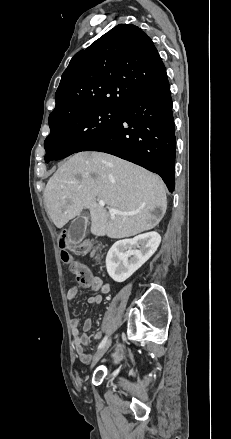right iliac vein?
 <instances>
[{
	"label": "right iliac vein",
	"instance_id": "63e3f726",
	"mask_svg": "<svg viewBox=\"0 0 231 439\" xmlns=\"http://www.w3.org/2000/svg\"><path fill=\"white\" fill-rule=\"evenodd\" d=\"M111 345V339H109L105 345L103 347H101L93 356V361L91 364V367H93L99 360L100 358L106 353V351L108 350V348Z\"/></svg>",
	"mask_w": 231,
	"mask_h": 439
}]
</instances>
